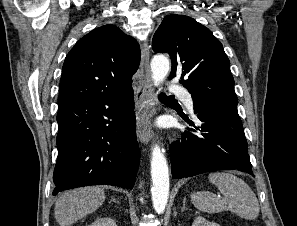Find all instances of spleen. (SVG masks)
Here are the masks:
<instances>
[{
  "mask_svg": "<svg viewBox=\"0 0 297 226\" xmlns=\"http://www.w3.org/2000/svg\"><path fill=\"white\" fill-rule=\"evenodd\" d=\"M208 178L217 186L223 198L210 192L193 193L192 203L198 210L206 213L231 211L247 220L258 217L260 211L258 199L244 180L228 172L211 173Z\"/></svg>",
  "mask_w": 297,
  "mask_h": 226,
  "instance_id": "obj_1",
  "label": "spleen"
}]
</instances>
